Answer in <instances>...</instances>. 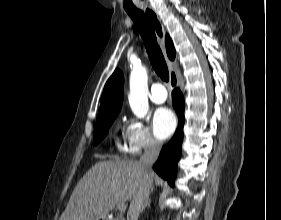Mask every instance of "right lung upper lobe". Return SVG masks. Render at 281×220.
Listing matches in <instances>:
<instances>
[{
  "label": "right lung upper lobe",
  "instance_id": "cb5924a9",
  "mask_svg": "<svg viewBox=\"0 0 281 220\" xmlns=\"http://www.w3.org/2000/svg\"><path fill=\"white\" fill-rule=\"evenodd\" d=\"M166 49L169 58L174 60L176 51L169 35H166ZM122 101L123 74L119 69H116L104 87L98 118L118 115L121 109Z\"/></svg>",
  "mask_w": 281,
  "mask_h": 220
}]
</instances>
